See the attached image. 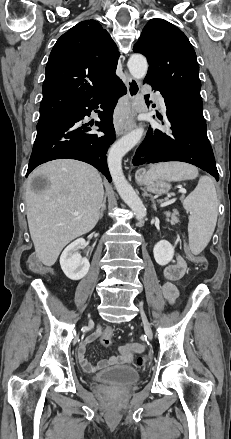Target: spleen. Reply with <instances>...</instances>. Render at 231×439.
Segmentation results:
<instances>
[{
  "instance_id": "1",
  "label": "spleen",
  "mask_w": 231,
  "mask_h": 439,
  "mask_svg": "<svg viewBox=\"0 0 231 439\" xmlns=\"http://www.w3.org/2000/svg\"><path fill=\"white\" fill-rule=\"evenodd\" d=\"M198 177L196 167L182 162L161 163L147 172V179H164L168 181L190 180ZM183 207L190 212L188 223L189 245L193 254L204 250L214 232L218 200L212 179L201 176L197 187L183 202Z\"/></svg>"
}]
</instances>
